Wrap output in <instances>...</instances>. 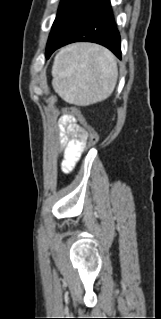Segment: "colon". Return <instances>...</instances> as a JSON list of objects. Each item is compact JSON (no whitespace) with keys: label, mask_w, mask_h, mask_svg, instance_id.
Returning a JSON list of instances; mask_svg holds the SVG:
<instances>
[{"label":"colon","mask_w":161,"mask_h":319,"mask_svg":"<svg viewBox=\"0 0 161 319\" xmlns=\"http://www.w3.org/2000/svg\"><path fill=\"white\" fill-rule=\"evenodd\" d=\"M66 111L69 112L70 114L76 116L80 122L82 123V125L85 128V143L87 145L88 148L94 146L97 141H98V134L97 132L94 130V128H92L87 121L85 120V118L82 116V114L80 113V111L76 108V107H67Z\"/></svg>","instance_id":"5ec220e1"}]
</instances>
